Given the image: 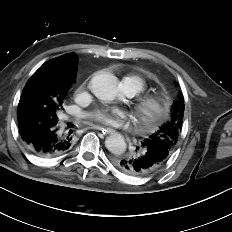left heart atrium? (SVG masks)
Returning a JSON list of instances; mask_svg holds the SVG:
<instances>
[{
	"instance_id": "1",
	"label": "left heart atrium",
	"mask_w": 232,
	"mask_h": 232,
	"mask_svg": "<svg viewBox=\"0 0 232 232\" xmlns=\"http://www.w3.org/2000/svg\"><path fill=\"white\" fill-rule=\"evenodd\" d=\"M93 118L107 126H117L126 119V114L118 109H102L94 113Z\"/></svg>"
}]
</instances>
